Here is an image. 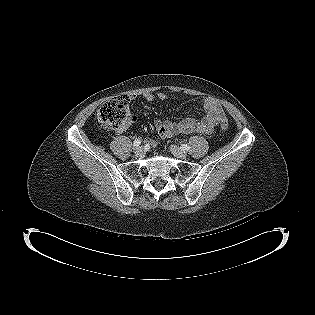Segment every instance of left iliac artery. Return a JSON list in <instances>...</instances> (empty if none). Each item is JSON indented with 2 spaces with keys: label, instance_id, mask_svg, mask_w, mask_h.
Masks as SVG:
<instances>
[{
  "label": "left iliac artery",
  "instance_id": "1",
  "mask_svg": "<svg viewBox=\"0 0 315 315\" xmlns=\"http://www.w3.org/2000/svg\"><path fill=\"white\" fill-rule=\"evenodd\" d=\"M181 148L183 151H188L190 149V146L187 144H183Z\"/></svg>",
  "mask_w": 315,
  "mask_h": 315
}]
</instances>
